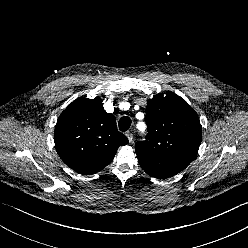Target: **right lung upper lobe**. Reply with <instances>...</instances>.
Listing matches in <instances>:
<instances>
[{
  "label": "right lung upper lobe",
  "mask_w": 248,
  "mask_h": 248,
  "mask_svg": "<svg viewBox=\"0 0 248 248\" xmlns=\"http://www.w3.org/2000/svg\"><path fill=\"white\" fill-rule=\"evenodd\" d=\"M54 142L61 159L73 170L87 175L107 166L127 137L116 128L99 97H79L58 118Z\"/></svg>",
  "instance_id": "cb5924a9"
}]
</instances>
